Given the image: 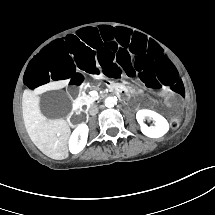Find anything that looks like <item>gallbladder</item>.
I'll use <instances>...</instances> for the list:
<instances>
[{"mask_svg":"<svg viewBox=\"0 0 215 215\" xmlns=\"http://www.w3.org/2000/svg\"><path fill=\"white\" fill-rule=\"evenodd\" d=\"M39 104L43 115L52 119H61L67 116L72 108L68 95L60 90L43 94Z\"/></svg>","mask_w":215,"mask_h":215,"instance_id":"gallbladder-1","label":"gallbladder"}]
</instances>
